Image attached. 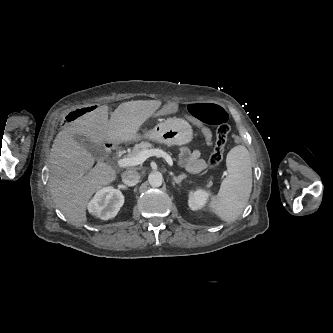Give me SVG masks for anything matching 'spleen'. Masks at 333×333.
Listing matches in <instances>:
<instances>
[{"label": "spleen", "mask_w": 333, "mask_h": 333, "mask_svg": "<svg viewBox=\"0 0 333 333\" xmlns=\"http://www.w3.org/2000/svg\"><path fill=\"white\" fill-rule=\"evenodd\" d=\"M251 156L243 145L227 154V176L218 194L211 198L208 208L225 222L235 221L243 212L252 190Z\"/></svg>", "instance_id": "1"}]
</instances>
